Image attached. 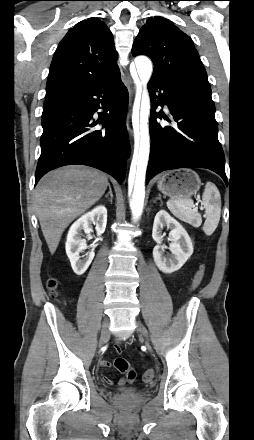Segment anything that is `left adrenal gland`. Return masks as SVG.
<instances>
[{"mask_svg":"<svg viewBox=\"0 0 254 440\" xmlns=\"http://www.w3.org/2000/svg\"><path fill=\"white\" fill-rule=\"evenodd\" d=\"M156 200H160L161 203H162V199H161V195H160V194H159V196L155 199V201H156ZM155 201H154V202H155Z\"/></svg>","mask_w":254,"mask_h":440,"instance_id":"left-adrenal-gland-1","label":"left adrenal gland"}]
</instances>
